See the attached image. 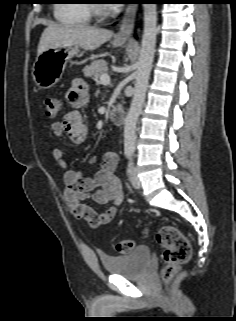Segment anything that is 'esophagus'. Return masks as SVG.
Segmentation results:
<instances>
[{"label":"esophagus","mask_w":236,"mask_h":321,"mask_svg":"<svg viewBox=\"0 0 236 321\" xmlns=\"http://www.w3.org/2000/svg\"><path fill=\"white\" fill-rule=\"evenodd\" d=\"M137 8L138 6L135 4L127 6L120 22V28L115 35L116 39L127 40L131 38L134 29Z\"/></svg>","instance_id":"1"}]
</instances>
